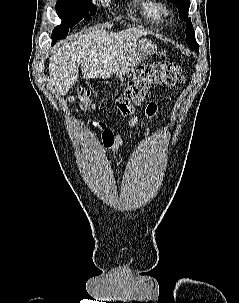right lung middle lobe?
Masks as SVG:
<instances>
[{
    "label": "right lung middle lobe",
    "instance_id": "dd1d6c3e",
    "mask_svg": "<svg viewBox=\"0 0 239 303\" xmlns=\"http://www.w3.org/2000/svg\"><path fill=\"white\" fill-rule=\"evenodd\" d=\"M55 8L62 24L52 32L53 41L66 37L68 29L72 28L82 18L90 20V15H94L96 9V7H92L91 0H57ZM89 11L90 15H88Z\"/></svg>",
    "mask_w": 239,
    "mask_h": 303
}]
</instances>
